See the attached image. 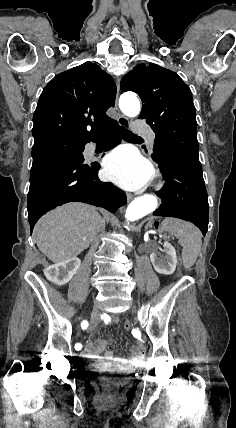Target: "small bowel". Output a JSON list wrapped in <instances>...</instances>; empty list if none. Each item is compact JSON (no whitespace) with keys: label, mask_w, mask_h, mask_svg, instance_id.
<instances>
[{"label":"small bowel","mask_w":236,"mask_h":428,"mask_svg":"<svg viewBox=\"0 0 236 428\" xmlns=\"http://www.w3.org/2000/svg\"><path fill=\"white\" fill-rule=\"evenodd\" d=\"M102 321L104 324L118 323L119 318L117 316L105 315L102 317ZM93 330L94 328L91 329V331ZM111 344V341L105 339H98L95 343L88 341L85 346L84 357L97 363L127 369L136 368L143 360L145 347L142 341L132 346V353L130 356H117L113 352L107 351Z\"/></svg>","instance_id":"obj_1"}]
</instances>
